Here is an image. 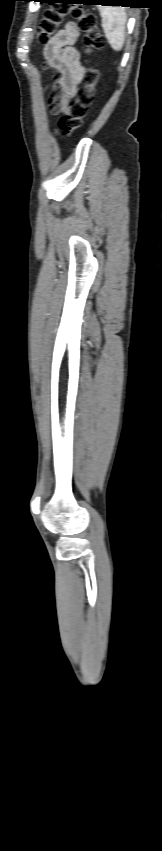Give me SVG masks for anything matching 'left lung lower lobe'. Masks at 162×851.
I'll use <instances>...</instances> for the list:
<instances>
[{"label":"left lung lower lobe","instance_id":"left-lung-lower-lobe-1","mask_svg":"<svg viewBox=\"0 0 162 851\" xmlns=\"http://www.w3.org/2000/svg\"><path fill=\"white\" fill-rule=\"evenodd\" d=\"M85 1H88L90 3L101 2L103 4L120 5V6H123V4H126V3H130L129 0H72V1L67 2V3H81V2H85ZM44 2H48L50 4H53V3H55V0H45Z\"/></svg>","mask_w":162,"mask_h":851}]
</instances>
